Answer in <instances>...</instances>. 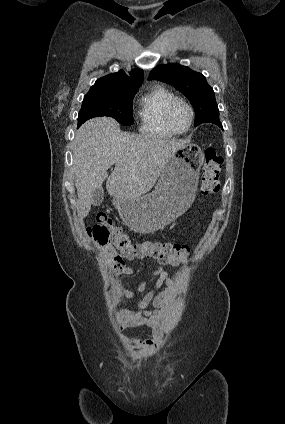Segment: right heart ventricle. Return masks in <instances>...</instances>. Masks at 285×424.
I'll return each mask as SVG.
<instances>
[{"label": "right heart ventricle", "instance_id": "obj_1", "mask_svg": "<svg viewBox=\"0 0 285 424\" xmlns=\"http://www.w3.org/2000/svg\"><path fill=\"white\" fill-rule=\"evenodd\" d=\"M177 96L168 88L155 86L139 99L138 117L140 130L159 138H171L175 134L165 123V110Z\"/></svg>", "mask_w": 285, "mask_h": 424}]
</instances>
